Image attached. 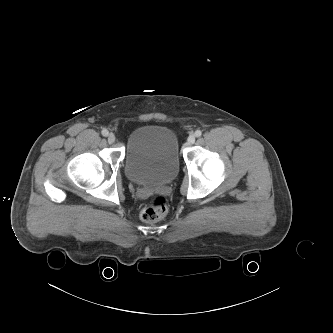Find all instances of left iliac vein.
Returning <instances> with one entry per match:
<instances>
[{
    "label": "left iliac vein",
    "instance_id": "obj_1",
    "mask_svg": "<svg viewBox=\"0 0 333 333\" xmlns=\"http://www.w3.org/2000/svg\"><path fill=\"white\" fill-rule=\"evenodd\" d=\"M195 135L194 134H191L189 137H188V139H187V143L189 144V145H191V144H193L194 142H195Z\"/></svg>",
    "mask_w": 333,
    "mask_h": 333
}]
</instances>
